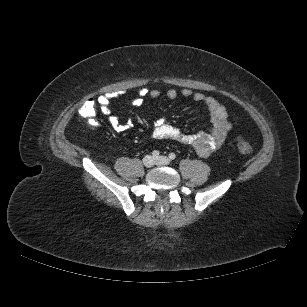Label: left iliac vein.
Listing matches in <instances>:
<instances>
[{"mask_svg":"<svg viewBox=\"0 0 307 307\" xmlns=\"http://www.w3.org/2000/svg\"><path fill=\"white\" fill-rule=\"evenodd\" d=\"M155 162H156L157 165H169L170 159L166 156H160L156 159Z\"/></svg>","mask_w":307,"mask_h":307,"instance_id":"1","label":"left iliac vein"}]
</instances>
